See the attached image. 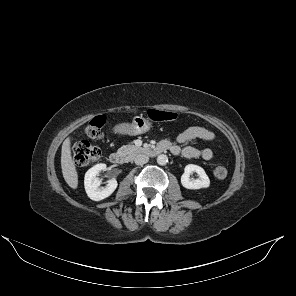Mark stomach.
Here are the masks:
<instances>
[{"label": "stomach", "instance_id": "stomach-1", "mask_svg": "<svg viewBox=\"0 0 296 296\" xmlns=\"http://www.w3.org/2000/svg\"><path fill=\"white\" fill-rule=\"evenodd\" d=\"M152 123L142 117V116H135L131 123H121L118 124L116 129L121 134L126 135H139L146 133L150 130Z\"/></svg>", "mask_w": 296, "mask_h": 296}]
</instances>
